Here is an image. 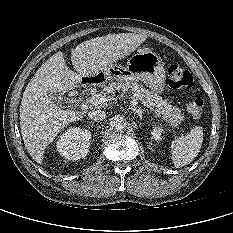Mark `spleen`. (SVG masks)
<instances>
[{"label":"spleen","mask_w":233,"mask_h":233,"mask_svg":"<svg viewBox=\"0 0 233 233\" xmlns=\"http://www.w3.org/2000/svg\"><path fill=\"white\" fill-rule=\"evenodd\" d=\"M203 142V128L196 126L189 134L176 137L170 145L171 159L175 168L190 164L198 155Z\"/></svg>","instance_id":"1"}]
</instances>
